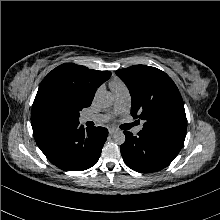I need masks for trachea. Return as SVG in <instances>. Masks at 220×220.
<instances>
[{"label":"trachea","mask_w":220,"mask_h":220,"mask_svg":"<svg viewBox=\"0 0 220 220\" xmlns=\"http://www.w3.org/2000/svg\"><path fill=\"white\" fill-rule=\"evenodd\" d=\"M131 126H132V124H131V125H128V128L131 127Z\"/></svg>","instance_id":"obj_1"}]
</instances>
